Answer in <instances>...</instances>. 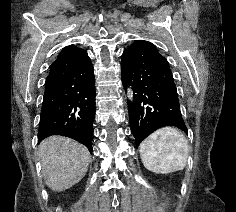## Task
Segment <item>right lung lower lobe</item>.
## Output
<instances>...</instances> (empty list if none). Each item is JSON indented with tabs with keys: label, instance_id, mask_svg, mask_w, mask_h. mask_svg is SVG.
Listing matches in <instances>:
<instances>
[{
	"label": "right lung lower lobe",
	"instance_id": "right-lung-lower-lobe-1",
	"mask_svg": "<svg viewBox=\"0 0 236 212\" xmlns=\"http://www.w3.org/2000/svg\"><path fill=\"white\" fill-rule=\"evenodd\" d=\"M95 118L94 70L81 48L59 55L50 65L40 113L38 142L50 135L70 137L92 153Z\"/></svg>",
	"mask_w": 236,
	"mask_h": 212
}]
</instances>
